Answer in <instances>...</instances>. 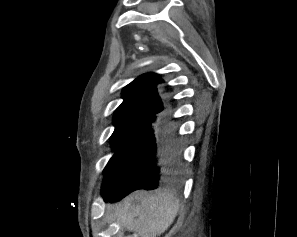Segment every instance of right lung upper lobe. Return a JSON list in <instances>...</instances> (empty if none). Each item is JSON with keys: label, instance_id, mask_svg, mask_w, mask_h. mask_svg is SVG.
<instances>
[{"label": "right lung upper lobe", "instance_id": "obj_1", "mask_svg": "<svg viewBox=\"0 0 297 237\" xmlns=\"http://www.w3.org/2000/svg\"><path fill=\"white\" fill-rule=\"evenodd\" d=\"M155 82V84L153 83ZM163 80L158 74L148 73L136 78L123 88V102L116 109L113 123L136 119L154 120L167 110L166 103L158 95L157 83Z\"/></svg>", "mask_w": 297, "mask_h": 237}]
</instances>
